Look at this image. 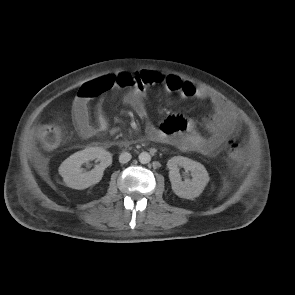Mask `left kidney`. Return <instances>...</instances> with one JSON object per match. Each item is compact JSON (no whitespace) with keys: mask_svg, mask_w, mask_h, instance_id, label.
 Here are the masks:
<instances>
[{"mask_svg":"<svg viewBox=\"0 0 295 295\" xmlns=\"http://www.w3.org/2000/svg\"><path fill=\"white\" fill-rule=\"evenodd\" d=\"M169 169V179L174 193L180 198L194 199L205 189L209 175L206 168L199 162L183 156H175L167 162ZM179 167L189 170L192 180L182 181Z\"/></svg>","mask_w":295,"mask_h":295,"instance_id":"1","label":"left kidney"}]
</instances>
